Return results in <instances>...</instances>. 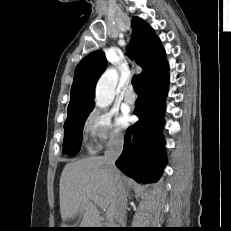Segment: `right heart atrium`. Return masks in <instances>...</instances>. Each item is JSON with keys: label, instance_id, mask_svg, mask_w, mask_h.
Segmentation results:
<instances>
[{"label": "right heart atrium", "instance_id": "right-heart-atrium-1", "mask_svg": "<svg viewBox=\"0 0 231 231\" xmlns=\"http://www.w3.org/2000/svg\"><path fill=\"white\" fill-rule=\"evenodd\" d=\"M83 133L93 151L105 145L117 144L123 139L113 114L104 109H93L88 113L83 122Z\"/></svg>", "mask_w": 231, "mask_h": 231}]
</instances>
